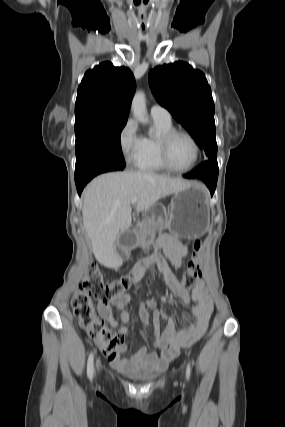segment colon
<instances>
[{
    "instance_id": "1",
    "label": "colon",
    "mask_w": 285,
    "mask_h": 427,
    "mask_svg": "<svg viewBox=\"0 0 285 427\" xmlns=\"http://www.w3.org/2000/svg\"><path fill=\"white\" fill-rule=\"evenodd\" d=\"M129 241H125L129 245ZM192 259L186 272L181 278L184 289L195 288L202 275L200 255L202 244L196 241L193 245ZM131 284L129 276H123L111 281H105L101 271L96 265H90L85 273L77 292L72 299V308L79 326L103 349L110 357L117 354V349L122 345L123 338L118 332L106 326L104 319L96 312L95 303L108 304L115 295L124 293Z\"/></svg>"
}]
</instances>
